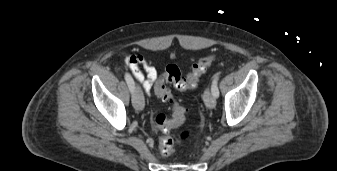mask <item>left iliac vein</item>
I'll list each match as a JSON object with an SVG mask.
<instances>
[{
    "label": "left iliac vein",
    "instance_id": "obj_1",
    "mask_svg": "<svg viewBox=\"0 0 337 171\" xmlns=\"http://www.w3.org/2000/svg\"><path fill=\"white\" fill-rule=\"evenodd\" d=\"M203 99H204L205 105L208 108H214L216 106V99L213 96V94L210 92L209 88H207L204 91Z\"/></svg>",
    "mask_w": 337,
    "mask_h": 171
}]
</instances>
